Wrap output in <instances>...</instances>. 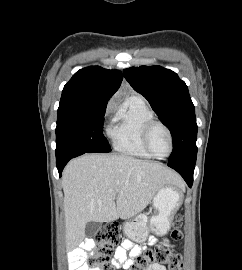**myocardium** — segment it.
<instances>
[{
  "mask_svg": "<svg viewBox=\"0 0 242 270\" xmlns=\"http://www.w3.org/2000/svg\"><path fill=\"white\" fill-rule=\"evenodd\" d=\"M155 126L162 127L166 131V133L168 134L170 147H169L168 153L165 156L156 155L150 147L149 137H150V133H151L152 129ZM142 143H143L145 150L148 152V154L155 159H160V160L166 159L172 154V152L174 150L173 134H172L170 128L164 122L157 120V119H151L145 124V126L143 128V132H142Z\"/></svg>",
  "mask_w": 242,
  "mask_h": 270,
  "instance_id": "f54148a6",
  "label": "myocardium"
}]
</instances>
